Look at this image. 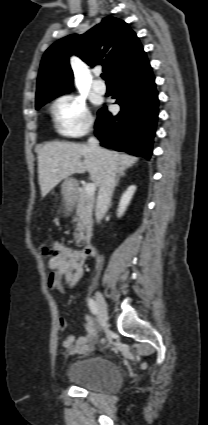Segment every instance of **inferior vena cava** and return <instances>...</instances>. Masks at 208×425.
<instances>
[{"label": "inferior vena cava", "mask_w": 208, "mask_h": 425, "mask_svg": "<svg viewBox=\"0 0 208 425\" xmlns=\"http://www.w3.org/2000/svg\"><path fill=\"white\" fill-rule=\"evenodd\" d=\"M88 145L93 151L102 154L104 157V170L102 180L99 185L95 210L96 221L97 223H100L102 217L110 206L111 197L116 183L118 164L110 153L105 152L99 147V141L95 137H90L88 139Z\"/></svg>", "instance_id": "inferior-vena-cava-1"}]
</instances>
